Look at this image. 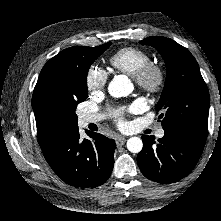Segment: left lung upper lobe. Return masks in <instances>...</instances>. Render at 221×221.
<instances>
[{
  "label": "left lung upper lobe",
  "mask_w": 221,
  "mask_h": 221,
  "mask_svg": "<svg viewBox=\"0 0 221 221\" xmlns=\"http://www.w3.org/2000/svg\"><path fill=\"white\" fill-rule=\"evenodd\" d=\"M140 43L156 48L166 64L165 86L155 106L162 112L159 119L163 129L186 131L206 139L210 98L193 55L166 37L151 36Z\"/></svg>",
  "instance_id": "obj_1"
}]
</instances>
